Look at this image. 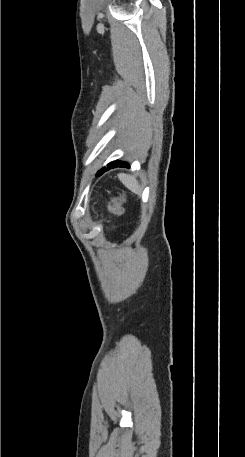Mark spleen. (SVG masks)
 Returning a JSON list of instances; mask_svg holds the SVG:
<instances>
[{"mask_svg":"<svg viewBox=\"0 0 245 457\" xmlns=\"http://www.w3.org/2000/svg\"><path fill=\"white\" fill-rule=\"evenodd\" d=\"M119 180L129 188V190H132V192H135V194H139L141 196L142 188L137 180V178H134V176H131V174H124V172H119L117 174Z\"/></svg>","mask_w":245,"mask_h":457,"instance_id":"1","label":"spleen"}]
</instances>
